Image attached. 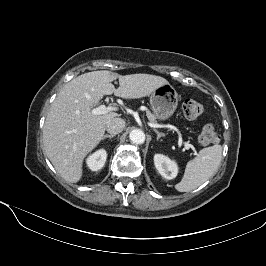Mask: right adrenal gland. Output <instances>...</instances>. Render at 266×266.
I'll return each instance as SVG.
<instances>
[{
  "mask_svg": "<svg viewBox=\"0 0 266 266\" xmlns=\"http://www.w3.org/2000/svg\"><path fill=\"white\" fill-rule=\"evenodd\" d=\"M115 136H116L115 134H110V135L106 134V135H104V136L102 137V140H105L106 138H110V139H112V138L115 137Z\"/></svg>",
  "mask_w": 266,
  "mask_h": 266,
  "instance_id": "right-adrenal-gland-1",
  "label": "right adrenal gland"
}]
</instances>
